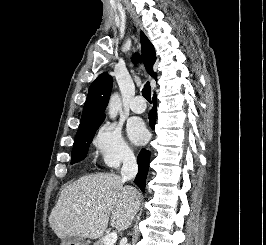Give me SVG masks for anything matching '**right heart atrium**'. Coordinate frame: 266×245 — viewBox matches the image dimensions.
<instances>
[{
	"label": "right heart atrium",
	"mask_w": 266,
	"mask_h": 245,
	"mask_svg": "<svg viewBox=\"0 0 266 245\" xmlns=\"http://www.w3.org/2000/svg\"><path fill=\"white\" fill-rule=\"evenodd\" d=\"M92 144L100 163L107 169H116L122 163L134 160V151L125 140L120 126L105 122L95 131Z\"/></svg>",
	"instance_id": "1"
}]
</instances>
